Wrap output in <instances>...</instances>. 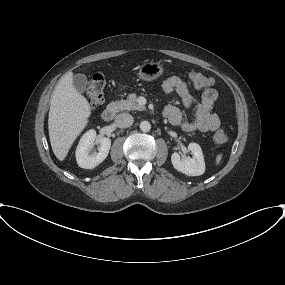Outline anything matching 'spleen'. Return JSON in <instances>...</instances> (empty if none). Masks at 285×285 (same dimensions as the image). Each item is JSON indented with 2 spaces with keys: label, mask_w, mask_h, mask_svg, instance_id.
Listing matches in <instances>:
<instances>
[{
  "label": "spleen",
  "mask_w": 285,
  "mask_h": 285,
  "mask_svg": "<svg viewBox=\"0 0 285 285\" xmlns=\"http://www.w3.org/2000/svg\"><path fill=\"white\" fill-rule=\"evenodd\" d=\"M222 153H220V154H218L217 156H216V159H215V163H216V165H219L220 164V162H221V160H222Z\"/></svg>",
  "instance_id": "obj_1"
}]
</instances>
